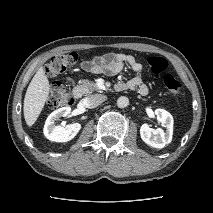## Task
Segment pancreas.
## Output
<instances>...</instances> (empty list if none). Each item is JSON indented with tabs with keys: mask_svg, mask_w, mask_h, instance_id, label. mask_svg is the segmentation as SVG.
<instances>
[{
	"mask_svg": "<svg viewBox=\"0 0 213 213\" xmlns=\"http://www.w3.org/2000/svg\"><path fill=\"white\" fill-rule=\"evenodd\" d=\"M79 86L84 94H88L97 90V85L89 80H81Z\"/></svg>",
	"mask_w": 213,
	"mask_h": 213,
	"instance_id": "cf45deb5",
	"label": "pancreas"
}]
</instances>
